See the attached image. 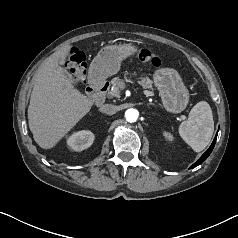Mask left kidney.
<instances>
[{
  "instance_id": "1",
  "label": "left kidney",
  "mask_w": 238,
  "mask_h": 238,
  "mask_svg": "<svg viewBox=\"0 0 238 238\" xmlns=\"http://www.w3.org/2000/svg\"><path fill=\"white\" fill-rule=\"evenodd\" d=\"M163 136L167 141H173L174 139V136L170 132H167V131L163 132Z\"/></svg>"
}]
</instances>
